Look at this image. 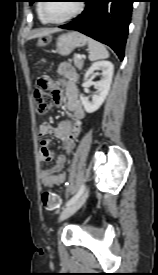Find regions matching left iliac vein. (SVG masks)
I'll return each mask as SVG.
<instances>
[{
    "mask_svg": "<svg viewBox=\"0 0 158 275\" xmlns=\"http://www.w3.org/2000/svg\"><path fill=\"white\" fill-rule=\"evenodd\" d=\"M88 196V190H86L74 203L67 206L60 215V220H64L73 215L77 210L81 208Z\"/></svg>",
    "mask_w": 158,
    "mask_h": 275,
    "instance_id": "4c4485c4",
    "label": "left iliac vein"
}]
</instances>
